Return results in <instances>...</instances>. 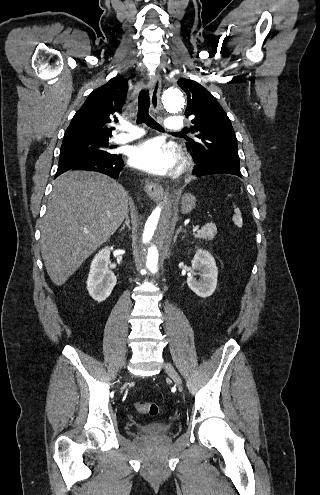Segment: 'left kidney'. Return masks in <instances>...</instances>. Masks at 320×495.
Masks as SVG:
<instances>
[{"mask_svg": "<svg viewBox=\"0 0 320 495\" xmlns=\"http://www.w3.org/2000/svg\"><path fill=\"white\" fill-rule=\"evenodd\" d=\"M196 275H200L198 280ZM217 279L218 269L215 259L208 251L198 249L192 260V271L187 278V285L196 295L206 298L214 293Z\"/></svg>", "mask_w": 320, "mask_h": 495, "instance_id": "5707ae66", "label": "left kidney"}]
</instances>
